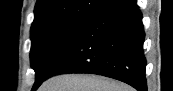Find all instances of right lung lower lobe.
<instances>
[{"label": "right lung lower lobe", "instance_id": "right-lung-lower-lobe-1", "mask_svg": "<svg viewBox=\"0 0 173 91\" xmlns=\"http://www.w3.org/2000/svg\"><path fill=\"white\" fill-rule=\"evenodd\" d=\"M144 38L136 0H115L85 22L45 79L63 73H92L146 91Z\"/></svg>", "mask_w": 173, "mask_h": 91}]
</instances>
